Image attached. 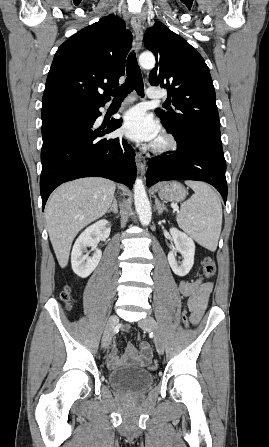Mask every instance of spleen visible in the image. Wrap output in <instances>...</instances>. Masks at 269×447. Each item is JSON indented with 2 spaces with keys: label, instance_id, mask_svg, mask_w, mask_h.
Instances as JSON below:
<instances>
[{
  "label": "spleen",
  "instance_id": "spleen-1",
  "mask_svg": "<svg viewBox=\"0 0 269 447\" xmlns=\"http://www.w3.org/2000/svg\"><path fill=\"white\" fill-rule=\"evenodd\" d=\"M195 194L181 204L176 222L197 243L215 251L222 225V206L216 192L204 182H185Z\"/></svg>",
  "mask_w": 269,
  "mask_h": 447
}]
</instances>
